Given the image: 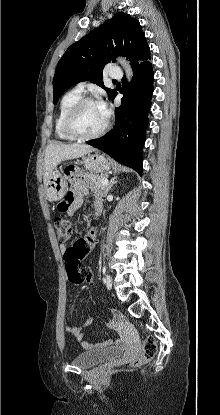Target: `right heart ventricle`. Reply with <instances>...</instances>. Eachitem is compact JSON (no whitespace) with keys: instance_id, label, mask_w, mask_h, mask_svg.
Listing matches in <instances>:
<instances>
[{"instance_id":"obj_1","label":"right heart ventricle","mask_w":220,"mask_h":415,"mask_svg":"<svg viewBox=\"0 0 220 415\" xmlns=\"http://www.w3.org/2000/svg\"><path fill=\"white\" fill-rule=\"evenodd\" d=\"M82 98V92L73 89L71 91H68L61 99L59 104L58 113L55 119V134L59 139L62 140H74L72 137H70L63 128V122L64 118L69 111V109L77 103Z\"/></svg>"}]
</instances>
